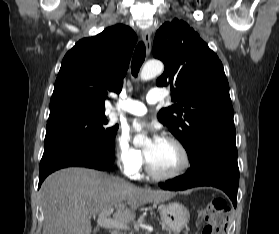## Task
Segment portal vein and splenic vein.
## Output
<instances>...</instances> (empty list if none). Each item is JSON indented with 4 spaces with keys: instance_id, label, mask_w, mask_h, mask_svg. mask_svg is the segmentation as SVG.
<instances>
[{
    "instance_id": "18ae733b",
    "label": "portal vein and splenic vein",
    "mask_w": 279,
    "mask_h": 234,
    "mask_svg": "<svg viewBox=\"0 0 279 234\" xmlns=\"http://www.w3.org/2000/svg\"><path fill=\"white\" fill-rule=\"evenodd\" d=\"M112 212L113 209H109L106 212L100 213L97 219L98 225L105 228L127 229L128 226L125 222L114 220L108 217V215Z\"/></svg>"
}]
</instances>
